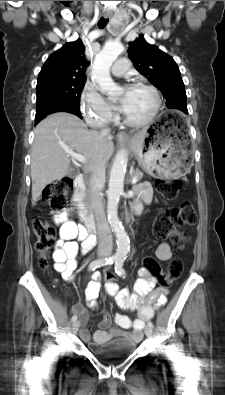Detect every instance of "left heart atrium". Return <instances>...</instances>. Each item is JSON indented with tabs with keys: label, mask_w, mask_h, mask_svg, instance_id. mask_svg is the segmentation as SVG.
<instances>
[{
	"label": "left heart atrium",
	"mask_w": 225,
	"mask_h": 395,
	"mask_svg": "<svg viewBox=\"0 0 225 395\" xmlns=\"http://www.w3.org/2000/svg\"><path fill=\"white\" fill-rule=\"evenodd\" d=\"M133 96V88H127L125 91L124 96L122 97V99L120 100V105H119V109L122 112H126L128 105L132 99Z\"/></svg>",
	"instance_id": "left-heart-atrium-1"
}]
</instances>
